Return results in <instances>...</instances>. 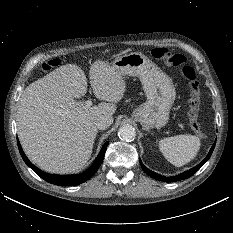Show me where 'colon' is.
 Listing matches in <instances>:
<instances>
[{
    "label": "colon",
    "mask_w": 233,
    "mask_h": 233,
    "mask_svg": "<svg viewBox=\"0 0 233 233\" xmlns=\"http://www.w3.org/2000/svg\"><path fill=\"white\" fill-rule=\"evenodd\" d=\"M150 53L155 59L162 60L165 64L180 69V73L182 77L188 82L190 89L188 111L190 126L197 135H203L199 121L201 95L199 82L194 68L187 64V60L183 55L173 53L166 48L156 47L153 48ZM60 63L61 60L58 58L50 59L42 64V69L44 71H50Z\"/></svg>",
    "instance_id": "1"
}]
</instances>
